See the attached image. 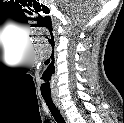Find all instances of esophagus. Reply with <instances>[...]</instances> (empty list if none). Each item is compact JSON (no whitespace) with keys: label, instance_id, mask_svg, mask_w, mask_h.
I'll return each mask as SVG.
<instances>
[{"label":"esophagus","instance_id":"34e87169","mask_svg":"<svg viewBox=\"0 0 124 123\" xmlns=\"http://www.w3.org/2000/svg\"><path fill=\"white\" fill-rule=\"evenodd\" d=\"M55 104H56V106L58 107L59 111L61 112V114H62L64 120L66 121V123H69V119H68V117H67V115H66V112H65V110L63 109L62 105H61L58 101H55Z\"/></svg>","mask_w":124,"mask_h":123}]
</instances>
